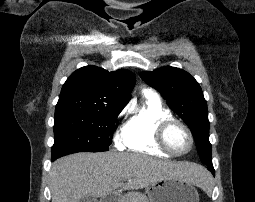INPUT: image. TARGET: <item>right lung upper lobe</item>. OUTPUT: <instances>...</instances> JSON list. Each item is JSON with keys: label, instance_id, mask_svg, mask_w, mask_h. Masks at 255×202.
<instances>
[{"label": "right lung upper lobe", "instance_id": "obj_1", "mask_svg": "<svg viewBox=\"0 0 255 202\" xmlns=\"http://www.w3.org/2000/svg\"><path fill=\"white\" fill-rule=\"evenodd\" d=\"M134 85L135 76L128 70L108 72L92 65L82 67L64 83L55 115L81 110L123 109Z\"/></svg>", "mask_w": 255, "mask_h": 202}]
</instances>
